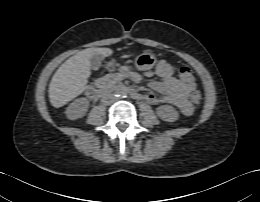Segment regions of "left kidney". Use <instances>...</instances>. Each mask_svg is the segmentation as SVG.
Masks as SVG:
<instances>
[{"label": "left kidney", "instance_id": "obj_1", "mask_svg": "<svg viewBox=\"0 0 260 202\" xmlns=\"http://www.w3.org/2000/svg\"><path fill=\"white\" fill-rule=\"evenodd\" d=\"M157 115L164 121L175 122L179 118V113L172 106L163 105L157 108Z\"/></svg>", "mask_w": 260, "mask_h": 202}]
</instances>
